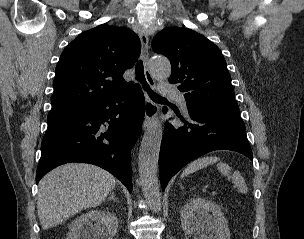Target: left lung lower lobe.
Wrapping results in <instances>:
<instances>
[{"instance_id":"1","label":"left lung lower lobe","mask_w":304,"mask_h":239,"mask_svg":"<svg viewBox=\"0 0 304 239\" xmlns=\"http://www.w3.org/2000/svg\"><path fill=\"white\" fill-rule=\"evenodd\" d=\"M167 112L166 107L163 109ZM182 126L167 123L161 142L159 174L162 190L190 161L214 150H232L252 160L245 125L240 116L189 111L190 122L181 115Z\"/></svg>"}]
</instances>
